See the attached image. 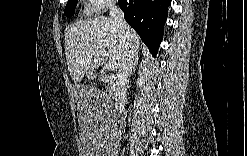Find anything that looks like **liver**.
<instances>
[{
  "mask_svg": "<svg viewBox=\"0 0 247 156\" xmlns=\"http://www.w3.org/2000/svg\"><path fill=\"white\" fill-rule=\"evenodd\" d=\"M130 34L138 49V34L133 29ZM64 41L68 70L75 83H79L106 60L115 62L119 67L125 50L123 35L111 17L106 16L75 23L66 30Z\"/></svg>",
  "mask_w": 247,
  "mask_h": 156,
  "instance_id": "obj_1",
  "label": "liver"
}]
</instances>
